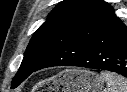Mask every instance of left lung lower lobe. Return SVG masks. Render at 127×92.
Returning <instances> with one entry per match:
<instances>
[{
  "instance_id": "1",
  "label": "left lung lower lobe",
  "mask_w": 127,
  "mask_h": 92,
  "mask_svg": "<svg viewBox=\"0 0 127 92\" xmlns=\"http://www.w3.org/2000/svg\"><path fill=\"white\" fill-rule=\"evenodd\" d=\"M53 66L103 69L127 77V27L110 14L58 48L37 70Z\"/></svg>"
}]
</instances>
